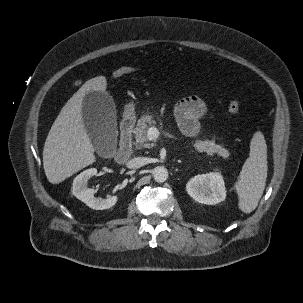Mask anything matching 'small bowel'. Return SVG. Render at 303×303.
Listing matches in <instances>:
<instances>
[{
  "label": "small bowel",
  "mask_w": 303,
  "mask_h": 303,
  "mask_svg": "<svg viewBox=\"0 0 303 303\" xmlns=\"http://www.w3.org/2000/svg\"><path fill=\"white\" fill-rule=\"evenodd\" d=\"M207 114V106L198 97L189 96L180 100L175 107V117L181 131L189 137L200 131V121Z\"/></svg>",
  "instance_id": "c3829d8e"
}]
</instances>
